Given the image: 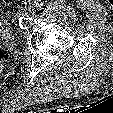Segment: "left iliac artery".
Instances as JSON below:
<instances>
[{"mask_svg":"<svg viewBox=\"0 0 113 113\" xmlns=\"http://www.w3.org/2000/svg\"><path fill=\"white\" fill-rule=\"evenodd\" d=\"M34 4H35V6L37 7V8H39V7H41L42 6V0H35L34 1Z\"/></svg>","mask_w":113,"mask_h":113,"instance_id":"left-iliac-artery-1","label":"left iliac artery"}]
</instances>
